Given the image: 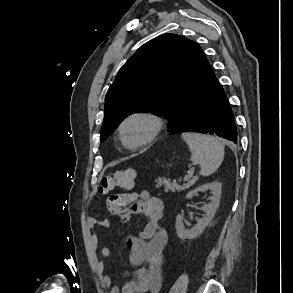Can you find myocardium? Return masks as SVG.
<instances>
[{
	"mask_svg": "<svg viewBox=\"0 0 293 293\" xmlns=\"http://www.w3.org/2000/svg\"><path fill=\"white\" fill-rule=\"evenodd\" d=\"M134 119L146 120L150 124V131L147 137H145L143 140L134 144H130L126 141L124 137V128L128 122ZM162 128H163L162 120L157 115L150 112L139 111V112H134L128 115L127 117H125L119 125L118 132H119V137L123 145L130 150H135L154 141L157 138V136L160 134Z\"/></svg>",
	"mask_w": 293,
	"mask_h": 293,
	"instance_id": "1",
	"label": "myocardium"
}]
</instances>
